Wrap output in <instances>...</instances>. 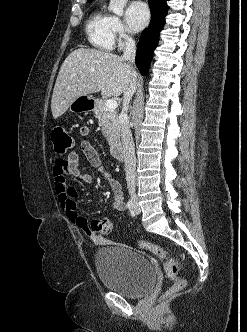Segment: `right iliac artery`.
<instances>
[{
  "instance_id": "obj_1",
  "label": "right iliac artery",
  "mask_w": 247,
  "mask_h": 332,
  "mask_svg": "<svg viewBox=\"0 0 247 332\" xmlns=\"http://www.w3.org/2000/svg\"><path fill=\"white\" fill-rule=\"evenodd\" d=\"M126 207H127L130 211H132V208H133V200H132V199H130V200L127 202Z\"/></svg>"
}]
</instances>
